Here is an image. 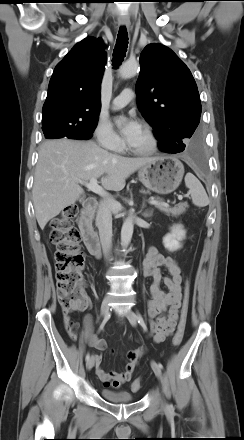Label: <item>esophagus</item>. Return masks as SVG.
Here are the masks:
<instances>
[{
	"mask_svg": "<svg viewBox=\"0 0 244 440\" xmlns=\"http://www.w3.org/2000/svg\"><path fill=\"white\" fill-rule=\"evenodd\" d=\"M119 25L126 26L129 29L130 28V20L128 18H120Z\"/></svg>",
	"mask_w": 244,
	"mask_h": 440,
	"instance_id": "esophagus-1",
	"label": "esophagus"
}]
</instances>
